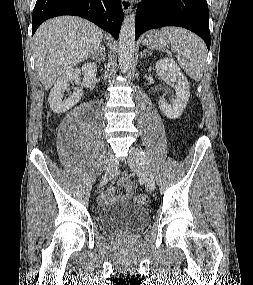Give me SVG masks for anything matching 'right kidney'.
<instances>
[{
	"mask_svg": "<svg viewBox=\"0 0 253 285\" xmlns=\"http://www.w3.org/2000/svg\"><path fill=\"white\" fill-rule=\"evenodd\" d=\"M81 72L84 75L83 86L90 87L95 80L97 67L94 63H85L81 68L76 67L67 70L57 79L48 99L50 108L54 113L61 114L66 112L76 105L81 99L83 95V91L81 89L74 91V93L68 99H62L63 93L67 89L70 82L73 80H78Z\"/></svg>",
	"mask_w": 253,
	"mask_h": 285,
	"instance_id": "obj_1",
	"label": "right kidney"
}]
</instances>
